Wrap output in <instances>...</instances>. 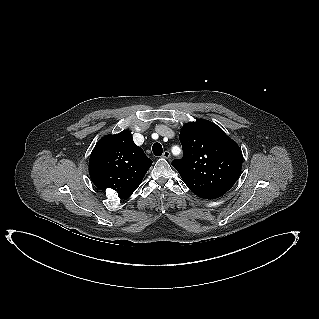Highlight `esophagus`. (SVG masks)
I'll return each mask as SVG.
<instances>
[{"label":"esophagus","instance_id":"esophagus-1","mask_svg":"<svg viewBox=\"0 0 319 319\" xmlns=\"http://www.w3.org/2000/svg\"><path fill=\"white\" fill-rule=\"evenodd\" d=\"M162 157H163V158H165V159L170 158V152H169V151H167V150H166V151H164V152H163V154H162Z\"/></svg>","mask_w":319,"mask_h":319}]
</instances>
